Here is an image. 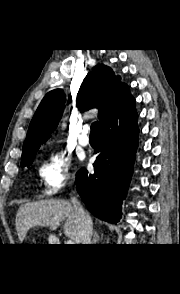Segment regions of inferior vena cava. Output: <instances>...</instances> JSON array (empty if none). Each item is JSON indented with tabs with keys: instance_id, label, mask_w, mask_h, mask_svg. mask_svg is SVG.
<instances>
[{
	"instance_id": "inferior-vena-cava-1",
	"label": "inferior vena cava",
	"mask_w": 180,
	"mask_h": 294,
	"mask_svg": "<svg viewBox=\"0 0 180 294\" xmlns=\"http://www.w3.org/2000/svg\"><path fill=\"white\" fill-rule=\"evenodd\" d=\"M71 202L78 218L81 244H91V237L93 232L91 217L83 209L81 203L77 200L76 197H72Z\"/></svg>"
}]
</instances>
